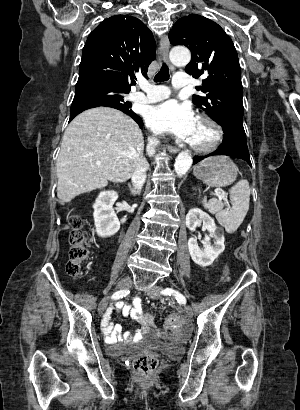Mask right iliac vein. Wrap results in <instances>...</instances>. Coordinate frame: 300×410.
Returning <instances> with one entry per match:
<instances>
[{"label": "right iliac vein", "mask_w": 300, "mask_h": 410, "mask_svg": "<svg viewBox=\"0 0 300 410\" xmlns=\"http://www.w3.org/2000/svg\"><path fill=\"white\" fill-rule=\"evenodd\" d=\"M132 284V280L129 277L123 278L118 284H117V289L125 290L128 289ZM109 297H105L102 299V301L99 304L98 307V312L99 314H102L108 305Z\"/></svg>", "instance_id": "1"}]
</instances>
